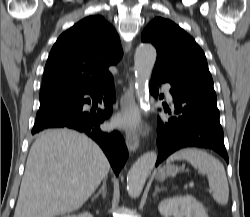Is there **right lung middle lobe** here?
<instances>
[{
    "label": "right lung middle lobe",
    "instance_id": "obj_1",
    "mask_svg": "<svg viewBox=\"0 0 250 217\" xmlns=\"http://www.w3.org/2000/svg\"><path fill=\"white\" fill-rule=\"evenodd\" d=\"M62 101H57L48 105H41L39 111L37 112L36 119L40 118L41 116L45 115L48 111L60 106Z\"/></svg>",
    "mask_w": 250,
    "mask_h": 217
}]
</instances>
